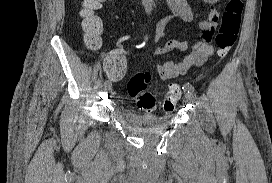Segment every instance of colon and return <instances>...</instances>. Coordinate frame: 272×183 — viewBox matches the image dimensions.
Returning <instances> with one entry per match:
<instances>
[{
    "mask_svg": "<svg viewBox=\"0 0 272 183\" xmlns=\"http://www.w3.org/2000/svg\"><path fill=\"white\" fill-rule=\"evenodd\" d=\"M105 0H83L81 16L85 30V42L90 49L99 46V34L102 30L100 19L94 15V11L100 7ZM243 11L242 0H229L222 15L220 27L215 34L217 46V55L220 58L225 57L232 46L235 44L241 23ZM214 31V30H207ZM151 76L148 72H140L133 75L128 84L129 95L135 99L138 107L144 111L150 112L156 107L155 96L147 90ZM181 97V90L178 86L172 87L160 102L164 112L172 111Z\"/></svg>",
    "mask_w": 272,
    "mask_h": 183,
    "instance_id": "obj_1",
    "label": "colon"
}]
</instances>
